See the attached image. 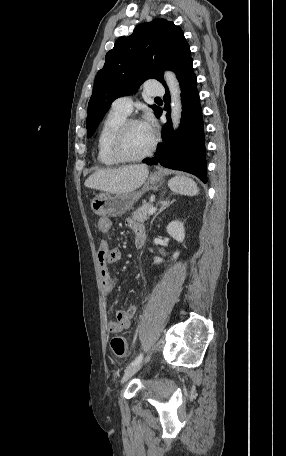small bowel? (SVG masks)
I'll return each mask as SVG.
<instances>
[{"label": "small bowel", "mask_w": 286, "mask_h": 456, "mask_svg": "<svg viewBox=\"0 0 286 456\" xmlns=\"http://www.w3.org/2000/svg\"><path fill=\"white\" fill-rule=\"evenodd\" d=\"M126 225L133 230L134 238L145 234V229L142 224L132 218L126 220ZM112 228V221L108 217L100 218L98 221V229L101 233L106 234ZM98 263L100 267V276L102 280L103 290L108 296L114 287L113 280L110 276L108 265L116 263L121 259V251L118 248H111L107 240L102 239L97 253ZM137 306L130 305L126 309H118L116 311V318L107 324L109 333H119L130 327L132 319L137 314Z\"/></svg>", "instance_id": "obj_1"}]
</instances>
